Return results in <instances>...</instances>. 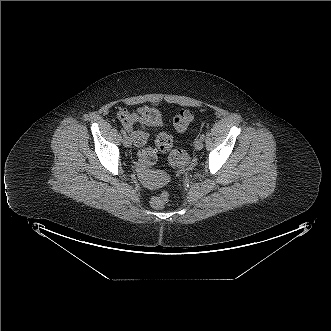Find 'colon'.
Here are the masks:
<instances>
[{"label": "colon", "instance_id": "obj_1", "mask_svg": "<svg viewBox=\"0 0 331 331\" xmlns=\"http://www.w3.org/2000/svg\"><path fill=\"white\" fill-rule=\"evenodd\" d=\"M193 113L188 109L178 111L173 117V126L178 131L186 130L193 121ZM142 125L146 128L157 129L162 124L161 113L155 108H148L142 113ZM142 133H145L141 130ZM157 148L169 154L170 164L177 169L185 168L190 163L189 155L177 148H173L172 136L168 133L161 132L156 137ZM169 202V194L161 192L151 198V206L155 209L164 208Z\"/></svg>", "mask_w": 331, "mask_h": 331}]
</instances>
